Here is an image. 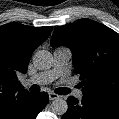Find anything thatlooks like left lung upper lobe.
Segmentation results:
<instances>
[{"label": "left lung upper lobe", "mask_w": 119, "mask_h": 119, "mask_svg": "<svg viewBox=\"0 0 119 119\" xmlns=\"http://www.w3.org/2000/svg\"><path fill=\"white\" fill-rule=\"evenodd\" d=\"M72 51L83 96L119 107V34L89 19L57 27L51 46Z\"/></svg>", "instance_id": "5c2ea615"}]
</instances>
